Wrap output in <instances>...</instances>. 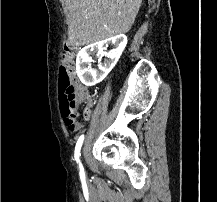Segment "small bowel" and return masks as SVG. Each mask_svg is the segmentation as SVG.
<instances>
[{
	"label": "small bowel",
	"mask_w": 217,
	"mask_h": 202,
	"mask_svg": "<svg viewBox=\"0 0 217 202\" xmlns=\"http://www.w3.org/2000/svg\"><path fill=\"white\" fill-rule=\"evenodd\" d=\"M75 91L77 93L78 103H83V102H89L90 103L89 97H88V100H81V95H87V93H86V90L83 87V85L80 84L79 82H77L76 80H75ZM91 115H92V111L89 107V108L85 109V111L83 113V119L88 120L91 117ZM82 126H83V123L80 122L79 127L81 128Z\"/></svg>",
	"instance_id": "c3829d8e"
}]
</instances>
